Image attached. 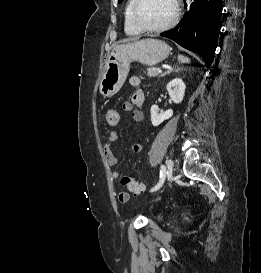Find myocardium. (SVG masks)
Wrapping results in <instances>:
<instances>
[{"label": "myocardium", "instance_id": "myocardium-1", "mask_svg": "<svg viewBox=\"0 0 261 273\" xmlns=\"http://www.w3.org/2000/svg\"><path fill=\"white\" fill-rule=\"evenodd\" d=\"M139 2H140V0H133L131 8H130V14H129L131 24L139 32L162 33V32H165V31L173 28L177 24L179 17H180V5H179L178 0H172L173 6H174V14H173L172 19L168 23H166L162 26H158V27H144V26H141L136 21L135 12H136Z\"/></svg>", "mask_w": 261, "mask_h": 273}]
</instances>
